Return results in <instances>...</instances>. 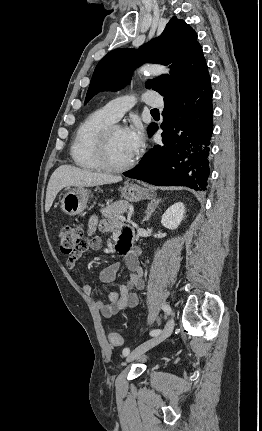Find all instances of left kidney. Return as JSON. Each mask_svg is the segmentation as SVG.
Returning <instances> with one entry per match:
<instances>
[{"label": "left kidney", "instance_id": "5707ae66", "mask_svg": "<svg viewBox=\"0 0 262 431\" xmlns=\"http://www.w3.org/2000/svg\"><path fill=\"white\" fill-rule=\"evenodd\" d=\"M185 214V206L183 203L178 202L169 207L163 214L161 223L164 227L169 229H176L182 222Z\"/></svg>", "mask_w": 262, "mask_h": 431}]
</instances>
